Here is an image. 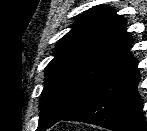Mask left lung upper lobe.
Masks as SVG:
<instances>
[{"mask_svg": "<svg viewBox=\"0 0 147 131\" xmlns=\"http://www.w3.org/2000/svg\"><path fill=\"white\" fill-rule=\"evenodd\" d=\"M126 21L104 5L81 15L62 37L45 68L38 131L78 110L95 89L132 55Z\"/></svg>", "mask_w": 147, "mask_h": 131, "instance_id": "left-lung-upper-lobe-1", "label": "left lung upper lobe"}]
</instances>
